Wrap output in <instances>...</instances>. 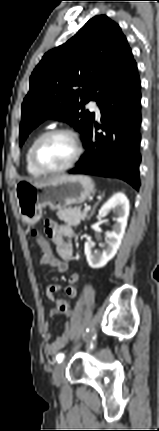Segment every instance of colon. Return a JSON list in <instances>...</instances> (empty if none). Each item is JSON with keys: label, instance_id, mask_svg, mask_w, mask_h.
I'll return each mask as SVG.
<instances>
[{"label": "colon", "instance_id": "5ec220e1", "mask_svg": "<svg viewBox=\"0 0 159 431\" xmlns=\"http://www.w3.org/2000/svg\"><path fill=\"white\" fill-rule=\"evenodd\" d=\"M32 234L34 236L37 235V231L35 229L32 230ZM36 241L39 242V250L41 252L45 253L46 257H51L52 256V248L50 247V242L48 241L47 237L44 234L41 235H37L36 236ZM66 319H70L72 316V313L70 310H66L65 313Z\"/></svg>", "mask_w": 159, "mask_h": 431}]
</instances>
